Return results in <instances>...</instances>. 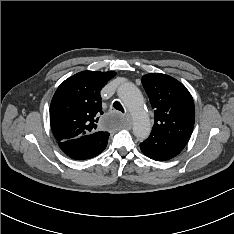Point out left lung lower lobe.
<instances>
[{
  "label": "left lung lower lobe",
  "mask_w": 234,
  "mask_h": 234,
  "mask_svg": "<svg viewBox=\"0 0 234 234\" xmlns=\"http://www.w3.org/2000/svg\"><path fill=\"white\" fill-rule=\"evenodd\" d=\"M183 148L176 142L153 134L140 143V149L144 155L156 161L169 160L177 156Z\"/></svg>",
  "instance_id": "1"
}]
</instances>
